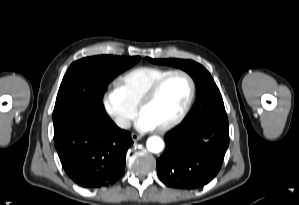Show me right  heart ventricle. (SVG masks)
<instances>
[{"mask_svg":"<svg viewBox=\"0 0 299 205\" xmlns=\"http://www.w3.org/2000/svg\"><path fill=\"white\" fill-rule=\"evenodd\" d=\"M172 70L155 67L140 66L121 75L116 85L123 92L125 98L135 107L147 89L160 77Z\"/></svg>","mask_w":299,"mask_h":205,"instance_id":"right-heart-ventricle-1","label":"right heart ventricle"}]
</instances>
